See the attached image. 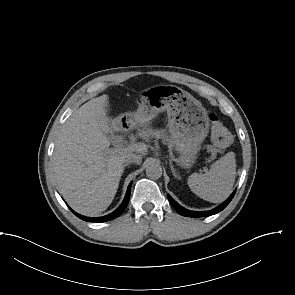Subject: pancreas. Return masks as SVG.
I'll list each match as a JSON object with an SVG mask.
<instances>
[{
  "label": "pancreas",
  "instance_id": "pancreas-1",
  "mask_svg": "<svg viewBox=\"0 0 295 295\" xmlns=\"http://www.w3.org/2000/svg\"><path fill=\"white\" fill-rule=\"evenodd\" d=\"M151 135L156 137L157 139H163L168 142L169 148L174 147V141L171 139L164 129L161 130H152ZM209 151L212 153L213 156L216 155L217 149L213 146H208Z\"/></svg>",
  "mask_w": 295,
  "mask_h": 295
}]
</instances>
